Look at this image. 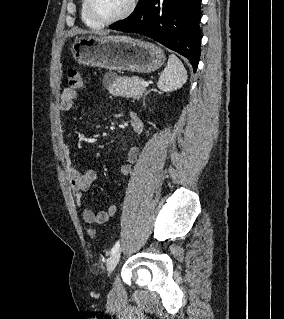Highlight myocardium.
Returning <instances> with one entry per match:
<instances>
[{"label": "myocardium", "mask_w": 284, "mask_h": 319, "mask_svg": "<svg viewBox=\"0 0 284 319\" xmlns=\"http://www.w3.org/2000/svg\"><path fill=\"white\" fill-rule=\"evenodd\" d=\"M137 1L138 0H129L124 11L111 19H101L95 14L92 6V0H86V11L90 19L93 20L95 23L101 26H109L127 19L134 12Z\"/></svg>", "instance_id": "1"}]
</instances>
